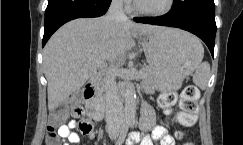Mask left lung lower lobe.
<instances>
[{"label": "left lung lower lobe", "mask_w": 243, "mask_h": 145, "mask_svg": "<svg viewBox=\"0 0 243 145\" xmlns=\"http://www.w3.org/2000/svg\"><path fill=\"white\" fill-rule=\"evenodd\" d=\"M136 22L154 25H164L177 27L187 30L201 38L214 55L216 23L215 19L199 18L185 16L179 10H171L160 17H139L134 18Z\"/></svg>", "instance_id": "obj_1"}]
</instances>
